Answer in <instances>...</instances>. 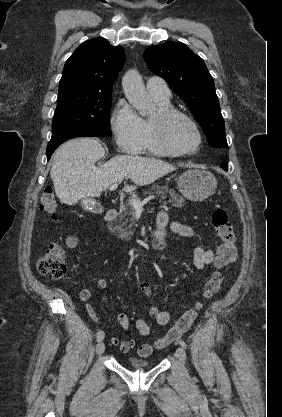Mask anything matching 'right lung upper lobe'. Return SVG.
I'll list each match as a JSON object with an SVG mask.
<instances>
[{
    "label": "right lung upper lobe",
    "instance_id": "cb5924a9",
    "mask_svg": "<svg viewBox=\"0 0 282 417\" xmlns=\"http://www.w3.org/2000/svg\"><path fill=\"white\" fill-rule=\"evenodd\" d=\"M125 61L121 46L104 38L81 44L67 60L58 93L73 91L112 92L113 83Z\"/></svg>",
    "mask_w": 282,
    "mask_h": 417
}]
</instances>
